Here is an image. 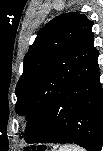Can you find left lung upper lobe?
<instances>
[{"instance_id":"left-lung-upper-lobe-1","label":"left lung upper lobe","mask_w":103,"mask_h":151,"mask_svg":"<svg viewBox=\"0 0 103 151\" xmlns=\"http://www.w3.org/2000/svg\"><path fill=\"white\" fill-rule=\"evenodd\" d=\"M93 21L78 12L61 14L43 27L24 58L23 73L16 85V112L25 115L33 79L43 70L52 66L54 60L72 46L87 31ZM56 78V71H51Z\"/></svg>"}]
</instances>
